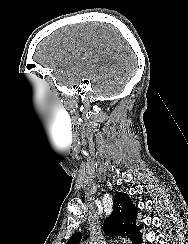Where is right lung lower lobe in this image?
Returning a JSON list of instances; mask_svg holds the SVG:
<instances>
[{"label": "right lung lower lobe", "instance_id": "obj_1", "mask_svg": "<svg viewBox=\"0 0 188 244\" xmlns=\"http://www.w3.org/2000/svg\"><path fill=\"white\" fill-rule=\"evenodd\" d=\"M142 242L143 241H142V235H141L140 238L134 242V244H142Z\"/></svg>", "mask_w": 188, "mask_h": 244}]
</instances>
